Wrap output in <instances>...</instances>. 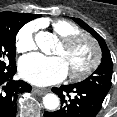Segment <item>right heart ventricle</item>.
<instances>
[{
	"label": "right heart ventricle",
	"instance_id": "1",
	"mask_svg": "<svg viewBox=\"0 0 117 117\" xmlns=\"http://www.w3.org/2000/svg\"><path fill=\"white\" fill-rule=\"evenodd\" d=\"M51 27L54 33L57 34L61 39L81 33V30L78 28V26L64 19L52 21Z\"/></svg>",
	"mask_w": 117,
	"mask_h": 117
}]
</instances>
